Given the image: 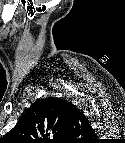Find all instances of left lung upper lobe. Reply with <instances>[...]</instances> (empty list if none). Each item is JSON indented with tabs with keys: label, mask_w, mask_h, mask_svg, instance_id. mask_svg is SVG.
Wrapping results in <instances>:
<instances>
[{
	"label": "left lung upper lobe",
	"mask_w": 125,
	"mask_h": 143,
	"mask_svg": "<svg viewBox=\"0 0 125 143\" xmlns=\"http://www.w3.org/2000/svg\"><path fill=\"white\" fill-rule=\"evenodd\" d=\"M69 103L54 97L35 102L25 111L16 127L5 135V138L18 141L56 138L66 130ZM82 120L84 121V118Z\"/></svg>",
	"instance_id": "5c2ea615"
}]
</instances>
